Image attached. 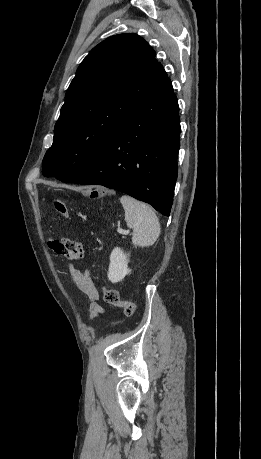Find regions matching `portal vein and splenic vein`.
<instances>
[{
  "label": "portal vein and splenic vein",
  "mask_w": 261,
  "mask_h": 459,
  "mask_svg": "<svg viewBox=\"0 0 261 459\" xmlns=\"http://www.w3.org/2000/svg\"><path fill=\"white\" fill-rule=\"evenodd\" d=\"M117 232L120 233V234H128V231L123 230L122 228H118Z\"/></svg>",
  "instance_id": "18ae733b"
}]
</instances>
